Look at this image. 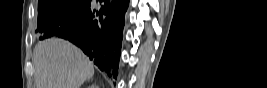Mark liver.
<instances>
[{"instance_id": "1", "label": "liver", "mask_w": 267, "mask_h": 88, "mask_svg": "<svg viewBox=\"0 0 267 88\" xmlns=\"http://www.w3.org/2000/svg\"><path fill=\"white\" fill-rule=\"evenodd\" d=\"M32 62L36 88H80L94 75L91 61L79 48L63 39L39 42Z\"/></svg>"}]
</instances>
